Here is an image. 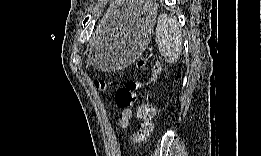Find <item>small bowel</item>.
<instances>
[{
	"instance_id": "obj_1",
	"label": "small bowel",
	"mask_w": 261,
	"mask_h": 156,
	"mask_svg": "<svg viewBox=\"0 0 261 156\" xmlns=\"http://www.w3.org/2000/svg\"><path fill=\"white\" fill-rule=\"evenodd\" d=\"M132 117V112L129 109H125L121 112L120 118H119V126L121 128H127L130 122V119Z\"/></svg>"
}]
</instances>
